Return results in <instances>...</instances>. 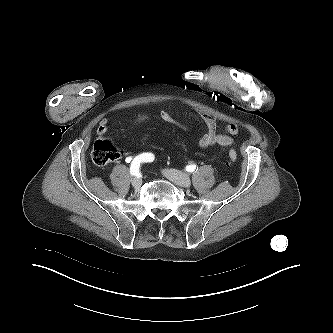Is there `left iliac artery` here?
Instances as JSON below:
<instances>
[{"instance_id":"44dca946","label":"left iliac artery","mask_w":333,"mask_h":333,"mask_svg":"<svg viewBox=\"0 0 333 333\" xmlns=\"http://www.w3.org/2000/svg\"><path fill=\"white\" fill-rule=\"evenodd\" d=\"M197 166L195 164L186 166V171L188 172H194L196 170Z\"/></svg>"}]
</instances>
